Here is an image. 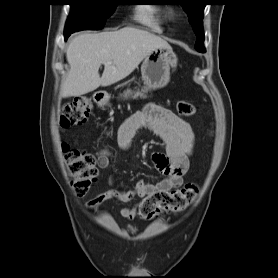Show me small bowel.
Here are the masks:
<instances>
[{
    "label": "small bowel",
    "instance_id": "obj_1",
    "mask_svg": "<svg viewBox=\"0 0 278 278\" xmlns=\"http://www.w3.org/2000/svg\"><path fill=\"white\" fill-rule=\"evenodd\" d=\"M141 129L151 131L165 143V152L153 155V162L164 176L163 179L154 184L139 180L132 190L120 189L115 186L113 179H110V188L89 200L87 203L89 208H96L108 200L128 203L136 197L145 198L156 191H171L182 185L195 141L192 126L171 110L149 103L120 126L119 146L124 150L129 149L134 136ZM110 162L108 153L99 154L97 158L99 168H109ZM136 211L137 206H125L120 214L123 218L131 220L135 217Z\"/></svg>",
    "mask_w": 278,
    "mask_h": 278
}]
</instances>
